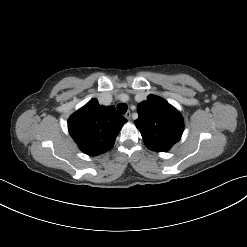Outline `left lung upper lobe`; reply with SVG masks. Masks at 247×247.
<instances>
[{"label": "left lung upper lobe", "instance_id": "obj_1", "mask_svg": "<svg viewBox=\"0 0 247 247\" xmlns=\"http://www.w3.org/2000/svg\"><path fill=\"white\" fill-rule=\"evenodd\" d=\"M137 110L139 118L134 123L148 149L167 152L180 140L184 130L183 117L166 100L149 95Z\"/></svg>", "mask_w": 247, "mask_h": 247}]
</instances>
